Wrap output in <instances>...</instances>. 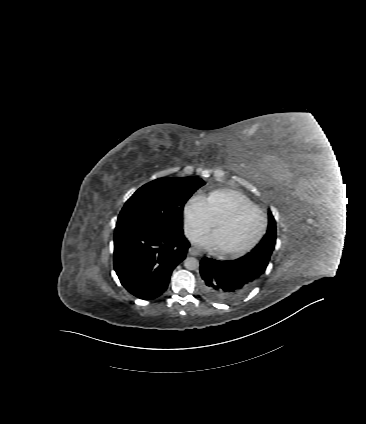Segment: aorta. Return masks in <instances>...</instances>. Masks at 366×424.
I'll list each match as a JSON object with an SVG mask.
<instances>
[{
	"instance_id": "762f6f07",
	"label": "aorta",
	"mask_w": 366,
	"mask_h": 424,
	"mask_svg": "<svg viewBox=\"0 0 366 424\" xmlns=\"http://www.w3.org/2000/svg\"><path fill=\"white\" fill-rule=\"evenodd\" d=\"M184 266L188 270H196L199 268V261L195 257H187L184 261Z\"/></svg>"
}]
</instances>
